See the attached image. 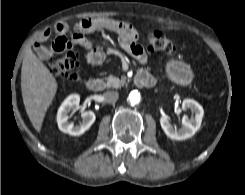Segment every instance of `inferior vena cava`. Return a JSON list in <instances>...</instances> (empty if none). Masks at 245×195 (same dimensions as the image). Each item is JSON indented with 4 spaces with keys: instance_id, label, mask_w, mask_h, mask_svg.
I'll use <instances>...</instances> for the list:
<instances>
[{
    "instance_id": "inferior-vena-cava-1",
    "label": "inferior vena cava",
    "mask_w": 245,
    "mask_h": 195,
    "mask_svg": "<svg viewBox=\"0 0 245 195\" xmlns=\"http://www.w3.org/2000/svg\"><path fill=\"white\" fill-rule=\"evenodd\" d=\"M105 100L108 103H115L119 98V93L116 91H107L105 94Z\"/></svg>"
}]
</instances>
